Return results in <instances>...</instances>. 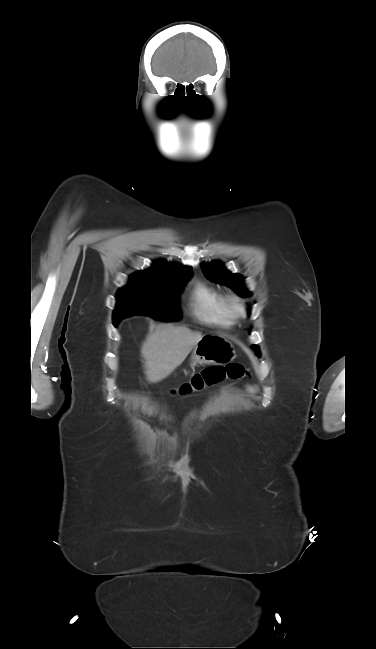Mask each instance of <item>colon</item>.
I'll use <instances>...</instances> for the list:
<instances>
[{
  "instance_id": "1",
  "label": "colon",
  "mask_w": 376,
  "mask_h": 649,
  "mask_svg": "<svg viewBox=\"0 0 376 649\" xmlns=\"http://www.w3.org/2000/svg\"><path fill=\"white\" fill-rule=\"evenodd\" d=\"M248 377V370L240 363H230L225 366H209L196 372L189 380L173 389V393L185 397L225 380H242Z\"/></svg>"
}]
</instances>
